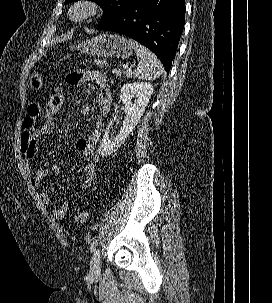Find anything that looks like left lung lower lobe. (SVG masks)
I'll use <instances>...</instances> for the list:
<instances>
[{
    "label": "left lung lower lobe",
    "mask_w": 272,
    "mask_h": 303,
    "mask_svg": "<svg viewBox=\"0 0 272 303\" xmlns=\"http://www.w3.org/2000/svg\"><path fill=\"white\" fill-rule=\"evenodd\" d=\"M185 24L184 0H138L98 26L124 34L153 51L169 72Z\"/></svg>",
    "instance_id": "obj_1"
}]
</instances>
